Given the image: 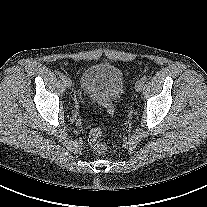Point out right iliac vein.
I'll list each match as a JSON object with an SVG mask.
<instances>
[{
	"label": "right iliac vein",
	"mask_w": 207,
	"mask_h": 207,
	"mask_svg": "<svg viewBox=\"0 0 207 207\" xmlns=\"http://www.w3.org/2000/svg\"><path fill=\"white\" fill-rule=\"evenodd\" d=\"M63 84L66 88H70L72 86V81L68 77L63 78Z\"/></svg>",
	"instance_id": "obj_1"
}]
</instances>
